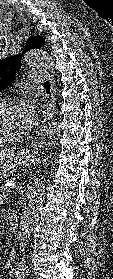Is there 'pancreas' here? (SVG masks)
I'll return each mask as SVG.
<instances>
[{
    "mask_svg": "<svg viewBox=\"0 0 113 279\" xmlns=\"http://www.w3.org/2000/svg\"><path fill=\"white\" fill-rule=\"evenodd\" d=\"M16 178H18V176L13 178L11 181H5L4 182V185L1 187V193H2L3 197L8 196L9 193L11 192V186H6L5 184L8 183V182H11L12 184L15 183L16 182Z\"/></svg>",
    "mask_w": 113,
    "mask_h": 279,
    "instance_id": "cf45deb5",
    "label": "pancreas"
}]
</instances>
